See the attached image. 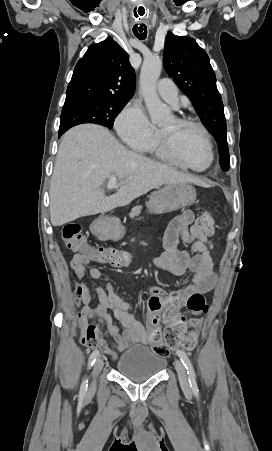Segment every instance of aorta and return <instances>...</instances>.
<instances>
[{"mask_svg": "<svg viewBox=\"0 0 272 451\" xmlns=\"http://www.w3.org/2000/svg\"><path fill=\"white\" fill-rule=\"evenodd\" d=\"M162 64L161 58L154 54V56L144 58L141 68L142 94L153 124H161L167 116L165 104L161 102L156 90V82L161 74Z\"/></svg>", "mask_w": 272, "mask_h": 451, "instance_id": "1", "label": "aorta"}]
</instances>
